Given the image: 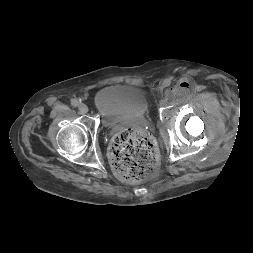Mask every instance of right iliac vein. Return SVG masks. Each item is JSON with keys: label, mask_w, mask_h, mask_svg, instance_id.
I'll use <instances>...</instances> for the list:
<instances>
[{"label": "right iliac vein", "mask_w": 253, "mask_h": 253, "mask_svg": "<svg viewBox=\"0 0 253 253\" xmlns=\"http://www.w3.org/2000/svg\"><path fill=\"white\" fill-rule=\"evenodd\" d=\"M78 109L80 111L81 114H86L88 112V107L86 104L84 103H81L79 106H78Z\"/></svg>", "instance_id": "right-iliac-vein-1"}]
</instances>
